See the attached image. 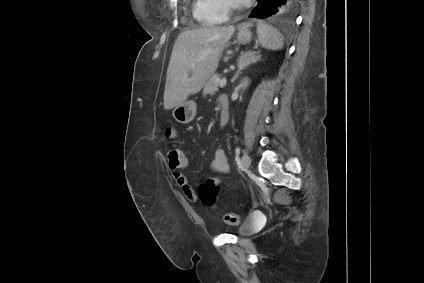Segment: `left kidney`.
<instances>
[{"mask_svg":"<svg viewBox=\"0 0 424 283\" xmlns=\"http://www.w3.org/2000/svg\"><path fill=\"white\" fill-rule=\"evenodd\" d=\"M247 85H248V80H247V79H244V80L242 81V88H246V87H247Z\"/></svg>","mask_w":424,"mask_h":283,"instance_id":"obj_1","label":"left kidney"}]
</instances>
